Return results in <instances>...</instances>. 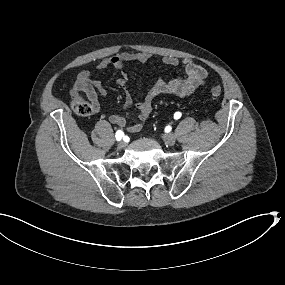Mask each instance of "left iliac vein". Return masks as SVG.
<instances>
[{
	"instance_id": "4c4485c4",
	"label": "left iliac vein",
	"mask_w": 285,
	"mask_h": 285,
	"mask_svg": "<svg viewBox=\"0 0 285 285\" xmlns=\"http://www.w3.org/2000/svg\"><path fill=\"white\" fill-rule=\"evenodd\" d=\"M163 141L165 142V144L172 146L176 141V137L172 133H168L163 136Z\"/></svg>"
}]
</instances>
